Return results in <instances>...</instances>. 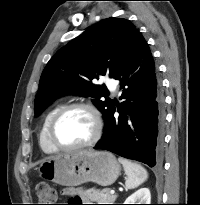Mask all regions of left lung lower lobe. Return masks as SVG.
Returning a JSON list of instances; mask_svg holds the SVG:
<instances>
[{"label": "left lung lower lobe", "instance_id": "obj_1", "mask_svg": "<svg viewBox=\"0 0 200 205\" xmlns=\"http://www.w3.org/2000/svg\"><path fill=\"white\" fill-rule=\"evenodd\" d=\"M114 79L120 82V99L124 101L120 105L113 102L103 136L94 149L159 166L163 156L164 98L151 51L140 32L118 65ZM116 111L118 118L114 117Z\"/></svg>", "mask_w": 200, "mask_h": 205}]
</instances>
